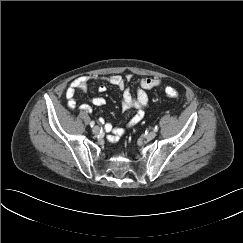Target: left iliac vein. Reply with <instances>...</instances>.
Returning <instances> with one entry per match:
<instances>
[{
  "instance_id": "obj_1",
  "label": "left iliac vein",
  "mask_w": 243,
  "mask_h": 243,
  "mask_svg": "<svg viewBox=\"0 0 243 243\" xmlns=\"http://www.w3.org/2000/svg\"><path fill=\"white\" fill-rule=\"evenodd\" d=\"M155 137H156V132H155V131H150V132H148L147 135H146V138H147L148 140H152V139H154Z\"/></svg>"
}]
</instances>
